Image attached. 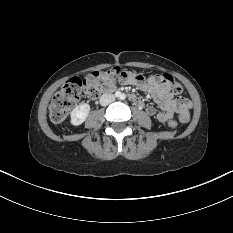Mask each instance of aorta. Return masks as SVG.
<instances>
[{"mask_svg":"<svg viewBox=\"0 0 233 233\" xmlns=\"http://www.w3.org/2000/svg\"><path fill=\"white\" fill-rule=\"evenodd\" d=\"M116 95H117V97H119L120 99L123 98V93H121V92H117Z\"/></svg>","mask_w":233,"mask_h":233,"instance_id":"obj_1","label":"aorta"}]
</instances>
